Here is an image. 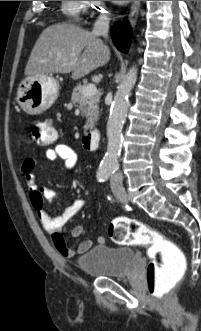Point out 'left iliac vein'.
Wrapping results in <instances>:
<instances>
[{"mask_svg": "<svg viewBox=\"0 0 201 331\" xmlns=\"http://www.w3.org/2000/svg\"><path fill=\"white\" fill-rule=\"evenodd\" d=\"M111 187L114 192H120L123 190L122 181L117 178L111 179Z\"/></svg>", "mask_w": 201, "mask_h": 331, "instance_id": "left-iliac-vein-1", "label": "left iliac vein"}]
</instances>
